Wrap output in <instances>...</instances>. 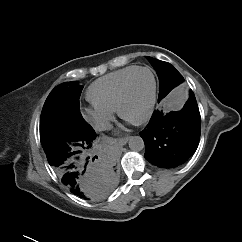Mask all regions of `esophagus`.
I'll use <instances>...</instances> for the list:
<instances>
[{
	"label": "esophagus",
	"instance_id": "34e87169",
	"mask_svg": "<svg viewBox=\"0 0 242 242\" xmlns=\"http://www.w3.org/2000/svg\"><path fill=\"white\" fill-rule=\"evenodd\" d=\"M129 139H130V136H126V137H124V138H120V139L118 140V144H119L120 146H124V145H126V143L128 142Z\"/></svg>",
	"mask_w": 242,
	"mask_h": 242
}]
</instances>
